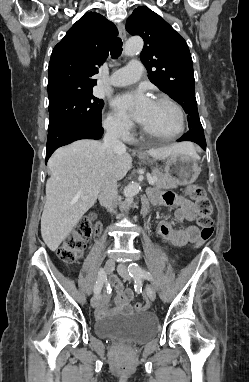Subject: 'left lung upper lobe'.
<instances>
[{
    "label": "left lung upper lobe",
    "instance_id": "5c2ea615",
    "mask_svg": "<svg viewBox=\"0 0 249 382\" xmlns=\"http://www.w3.org/2000/svg\"><path fill=\"white\" fill-rule=\"evenodd\" d=\"M126 29L144 40L140 59L150 81L183 107L189 130L203 131L195 98L193 62L183 37L144 6L133 11L127 19Z\"/></svg>",
    "mask_w": 249,
    "mask_h": 382
}]
</instances>
